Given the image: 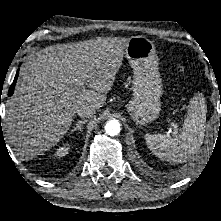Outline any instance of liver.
Listing matches in <instances>:
<instances>
[{"label":"liver","instance_id":"6515ba94","mask_svg":"<svg viewBox=\"0 0 221 221\" xmlns=\"http://www.w3.org/2000/svg\"><path fill=\"white\" fill-rule=\"evenodd\" d=\"M128 42L105 37L57 44L27 58L6 110L5 128L17 156L42 155L66 134L78 107L104 105Z\"/></svg>","mask_w":221,"mask_h":221}]
</instances>
